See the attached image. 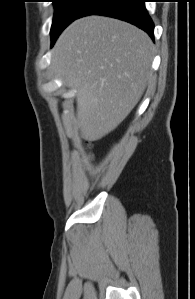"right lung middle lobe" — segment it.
Returning a JSON list of instances; mask_svg holds the SVG:
<instances>
[{"instance_id":"right-lung-middle-lobe-1","label":"right lung middle lobe","mask_w":195,"mask_h":299,"mask_svg":"<svg viewBox=\"0 0 195 299\" xmlns=\"http://www.w3.org/2000/svg\"><path fill=\"white\" fill-rule=\"evenodd\" d=\"M92 0H54L55 14L51 27L52 44L60 33L74 21Z\"/></svg>"}]
</instances>
